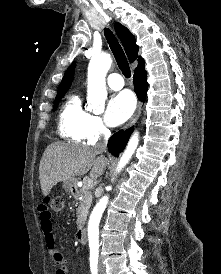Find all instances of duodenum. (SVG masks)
<instances>
[{"mask_svg":"<svg viewBox=\"0 0 221 274\" xmlns=\"http://www.w3.org/2000/svg\"><path fill=\"white\" fill-rule=\"evenodd\" d=\"M76 239L81 245L86 244V242H87V229H86V227L82 226L78 230V232L76 234Z\"/></svg>","mask_w":221,"mask_h":274,"instance_id":"obj_1","label":"duodenum"}]
</instances>
